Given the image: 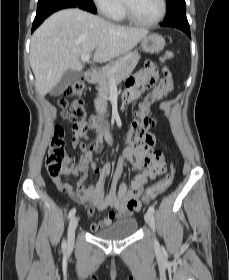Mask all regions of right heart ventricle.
Instances as JSON below:
<instances>
[{
	"label": "right heart ventricle",
	"mask_w": 229,
	"mask_h": 280,
	"mask_svg": "<svg viewBox=\"0 0 229 280\" xmlns=\"http://www.w3.org/2000/svg\"><path fill=\"white\" fill-rule=\"evenodd\" d=\"M111 18L116 21L124 20L125 15H124V12L122 9V5H120V7L115 11V13L113 14V16Z\"/></svg>",
	"instance_id": "obj_1"
}]
</instances>
